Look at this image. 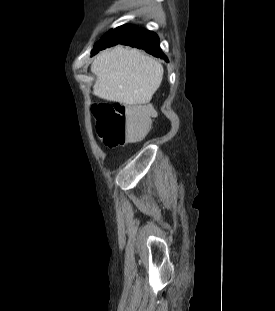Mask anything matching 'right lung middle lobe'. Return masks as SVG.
<instances>
[{
	"label": "right lung middle lobe",
	"mask_w": 275,
	"mask_h": 311,
	"mask_svg": "<svg viewBox=\"0 0 275 311\" xmlns=\"http://www.w3.org/2000/svg\"><path fill=\"white\" fill-rule=\"evenodd\" d=\"M136 29L137 27L134 25H123L116 29H112L103 35L99 42L95 44L91 54H96L100 50L120 44L126 38L131 36Z\"/></svg>",
	"instance_id": "dd1d6c3e"
}]
</instances>
